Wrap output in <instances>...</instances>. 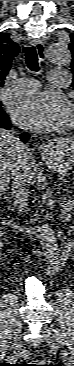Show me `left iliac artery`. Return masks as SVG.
<instances>
[{
	"label": "left iliac artery",
	"mask_w": 74,
	"mask_h": 366,
	"mask_svg": "<svg viewBox=\"0 0 74 366\" xmlns=\"http://www.w3.org/2000/svg\"><path fill=\"white\" fill-rule=\"evenodd\" d=\"M58 335H59V338H60V343L63 344L62 339H61L62 338L61 335L59 333H58Z\"/></svg>",
	"instance_id": "44dca946"
}]
</instances>
